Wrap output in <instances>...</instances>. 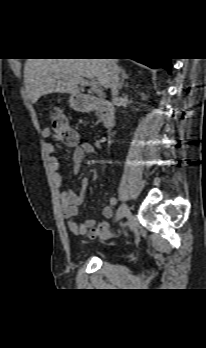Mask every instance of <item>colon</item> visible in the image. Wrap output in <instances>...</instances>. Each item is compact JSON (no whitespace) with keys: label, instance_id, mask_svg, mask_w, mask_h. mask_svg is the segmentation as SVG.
Segmentation results:
<instances>
[{"label":"colon","instance_id":"obj_1","mask_svg":"<svg viewBox=\"0 0 206 348\" xmlns=\"http://www.w3.org/2000/svg\"><path fill=\"white\" fill-rule=\"evenodd\" d=\"M50 136L56 141L73 145L77 142V133L70 126L67 118L60 109H54L50 113ZM90 235L106 239L111 235L107 223H100L91 228Z\"/></svg>","mask_w":206,"mask_h":348}]
</instances>
